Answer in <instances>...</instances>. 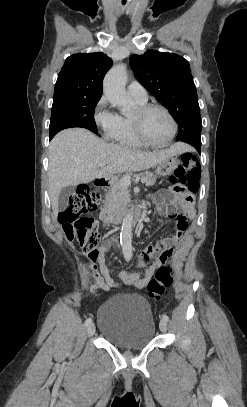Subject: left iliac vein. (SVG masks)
<instances>
[{
	"label": "left iliac vein",
	"instance_id": "left-iliac-vein-1",
	"mask_svg": "<svg viewBox=\"0 0 247 407\" xmlns=\"http://www.w3.org/2000/svg\"><path fill=\"white\" fill-rule=\"evenodd\" d=\"M159 328L162 332H166L167 331V321L165 320H161L159 323Z\"/></svg>",
	"mask_w": 247,
	"mask_h": 407
}]
</instances>
